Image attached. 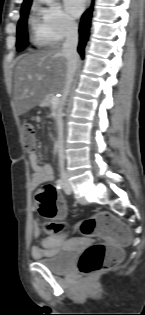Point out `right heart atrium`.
Listing matches in <instances>:
<instances>
[{
	"label": "right heart atrium",
	"mask_w": 145,
	"mask_h": 315,
	"mask_svg": "<svg viewBox=\"0 0 145 315\" xmlns=\"http://www.w3.org/2000/svg\"><path fill=\"white\" fill-rule=\"evenodd\" d=\"M36 11L49 41L58 43L75 34L77 24L58 3L38 5Z\"/></svg>",
	"instance_id": "1"
}]
</instances>
